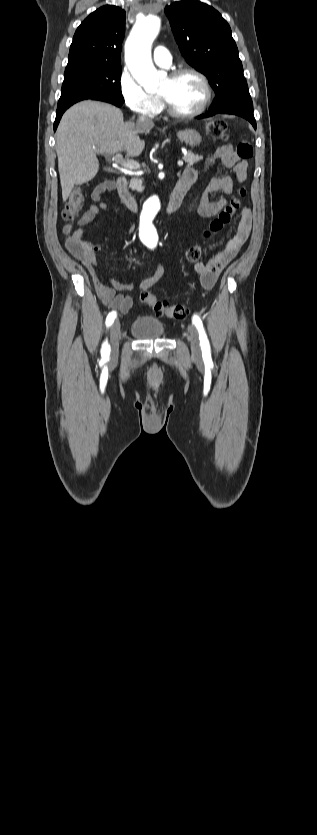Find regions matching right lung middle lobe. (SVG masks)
I'll return each instance as SVG.
<instances>
[{
  "label": "right lung middle lobe",
  "instance_id": "dd1d6c3e",
  "mask_svg": "<svg viewBox=\"0 0 317 835\" xmlns=\"http://www.w3.org/2000/svg\"><path fill=\"white\" fill-rule=\"evenodd\" d=\"M120 76V65H68L57 107L98 96H111L124 102Z\"/></svg>",
  "mask_w": 317,
  "mask_h": 835
}]
</instances>
